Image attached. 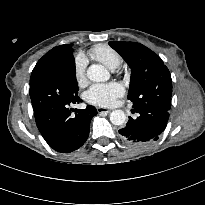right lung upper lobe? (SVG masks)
Here are the masks:
<instances>
[{"mask_svg":"<svg viewBox=\"0 0 205 205\" xmlns=\"http://www.w3.org/2000/svg\"><path fill=\"white\" fill-rule=\"evenodd\" d=\"M69 56H73L72 44L61 45L51 49L37 62L32 71L30 82L39 77L44 72L46 66L50 65L55 69Z\"/></svg>","mask_w":205,"mask_h":205,"instance_id":"cb5924a9","label":"right lung upper lobe"}]
</instances>
